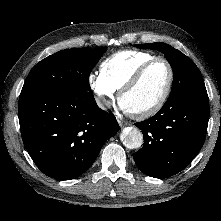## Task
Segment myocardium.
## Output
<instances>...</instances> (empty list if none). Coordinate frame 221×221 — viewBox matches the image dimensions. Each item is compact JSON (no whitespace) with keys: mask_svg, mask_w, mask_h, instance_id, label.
Listing matches in <instances>:
<instances>
[{"mask_svg":"<svg viewBox=\"0 0 221 221\" xmlns=\"http://www.w3.org/2000/svg\"><path fill=\"white\" fill-rule=\"evenodd\" d=\"M159 62L164 63L168 68L169 77H168L167 86H166L162 96L159 98V100L155 104H153L152 106H150L149 108H146L144 110L129 112L132 116H134L136 118L143 119V118H148V117L156 114L158 111H160L162 109V107L167 102V100L171 94V91L173 88V83H174V69H173L171 63L167 59L162 58V57H155V58L143 63L132 74V76L124 83V85L119 90L118 102L121 103L122 97L137 85V83L141 80V78L146 73V71L152 65L159 63Z\"/></svg>","mask_w":221,"mask_h":221,"instance_id":"myocardium-1","label":"myocardium"}]
</instances>
